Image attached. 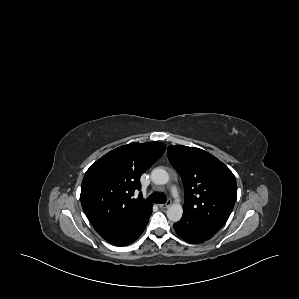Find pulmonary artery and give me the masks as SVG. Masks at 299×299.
Returning <instances> with one entry per match:
<instances>
[{
    "label": "pulmonary artery",
    "instance_id": "e3ab8cb5",
    "mask_svg": "<svg viewBox=\"0 0 299 299\" xmlns=\"http://www.w3.org/2000/svg\"><path fill=\"white\" fill-rule=\"evenodd\" d=\"M172 194H173V196H175V197L178 195V192H177L176 187H173V188H172Z\"/></svg>",
    "mask_w": 299,
    "mask_h": 299
}]
</instances>
